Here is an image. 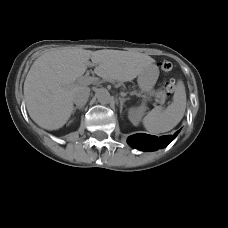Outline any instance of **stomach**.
<instances>
[{"label":"stomach","mask_w":228,"mask_h":228,"mask_svg":"<svg viewBox=\"0 0 228 228\" xmlns=\"http://www.w3.org/2000/svg\"><path fill=\"white\" fill-rule=\"evenodd\" d=\"M159 76V70L156 65H150L138 76V85L142 93H150Z\"/></svg>","instance_id":"stomach-1"}]
</instances>
